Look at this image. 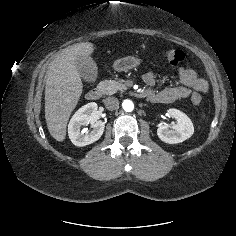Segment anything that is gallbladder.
<instances>
[{
  "label": "gallbladder",
  "instance_id": "bac80fb5",
  "mask_svg": "<svg viewBox=\"0 0 236 236\" xmlns=\"http://www.w3.org/2000/svg\"><path fill=\"white\" fill-rule=\"evenodd\" d=\"M76 68L80 76L87 82H95L98 76V68L95 61L87 55H81L76 59Z\"/></svg>",
  "mask_w": 236,
  "mask_h": 236
}]
</instances>
